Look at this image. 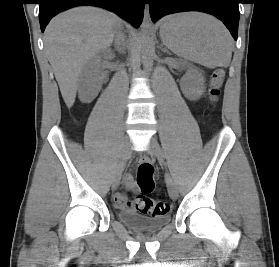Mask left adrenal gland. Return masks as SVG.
Masks as SVG:
<instances>
[{"instance_id":"1","label":"left adrenal gland","mask_w":279,"mask_h":267,"mask_svg":"<svg viewBox=\"0 0 279 267\" xmlns=\"http://www.w3.org/2000/svg\"><path fill=\"white\" fill-rule=\"evenodd\" d=\"M163 52H167L168 54H170V52L166 49V48H162L161 49Z\"/></svg>"}]
</instances>
